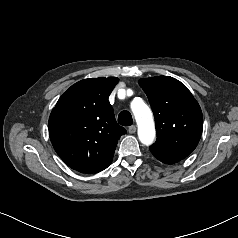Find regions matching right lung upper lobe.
Returning <instances> with one entry per match:
<instances>
[{
    "label": "right lung upper lobe",
    "mask_w": 238,
    "mask_h": 238,
    "mask_svg": "<svg viewBox=\"0 0 238 238\" xmlns=\"http://www.w3.org/2000/svg\"><path fill=\"white\" fill-rule=\"evenodd\" d=\"M118 78H92L72 85L49 117V135L60 158L81 173H97L112 162L118 139L126 133L108 97Z\"/></svg>",
    "instance_id": "1"
}]
</instances>
